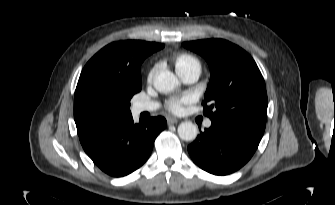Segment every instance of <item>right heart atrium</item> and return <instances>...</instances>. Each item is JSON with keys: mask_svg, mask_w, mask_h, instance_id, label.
Instances as JSON below:
<instances>
[{"mask_svg": "<svg viewBox=\"0 0 335 205\" xmlns=\"http://www.w3.org/2000/svg\"><path fill=\"white\" fill-rule=\"evenodd\" d=\"M155 70H156V68L154 67L149 71L148 77H147L148 81H151L153 79V76L155 74Z\"/></svg>", "mask_w": 335, "mask_h": 205, "instance_id": "right-heart-atrium-1", "label": "right heart atrium"}]
</instances>
